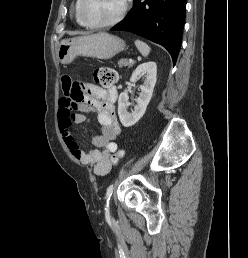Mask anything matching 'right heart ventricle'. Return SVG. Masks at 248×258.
<instances>
[{"mask_svg":"<svg viewBox=\"0 0 248 258\" xmlns=\"http://www.w3.org/2000/svg\"><path fill=\"white\" fill-rule=\"evenodd\" d=\"M78 5H79V0H76L75 5H74V17H75V21L81 25L84 26V22L82 21V19L80 18L79 15V11H78Z\"/></svg>","mask_w":248,"mask_h":258,"instance_id":"e07e8e85","label":"right heart ventricle"}]
</instances>
